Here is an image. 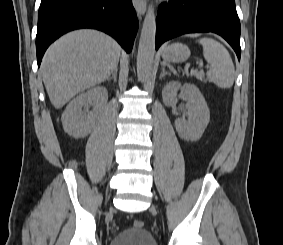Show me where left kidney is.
Returning <instances> with one entry per match:
<instances>
[{
  "mask_svg": "<svg viewBox=\"0 0 283 245\" xmlns=\"http://www.w3.org/2000/svg\"><path fill=\"white\" fill-rule=\"evenodd\" d=\"M179 90L187 99V107L191 114L188 120L183 118L176 119L175 128L183 140L194 142L201 138L207 127L210 121V112L200 90L192 84L181 85L174 81L166 84L162 92L164 101L167 104H171Z\"/></svg>",
  "mask_w": 283,
  "mask_h": 245,
  "instance_id": "obj_1",
  "label": "left kidney"
}]
</instances>
